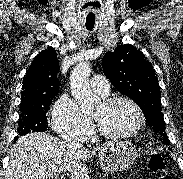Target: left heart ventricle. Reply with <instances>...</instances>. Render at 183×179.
Wrapping results in <instances>:
<instances>
[{"label": "left heart ventricle", "instance_id": "b2bd125f", "mask_svg": "<svg viewBox=\"0 0 183 179\" xmlns=\"http://www.w3.org/2000/svg\"><path fill=\"white\" fill-rule=\"evenodd\" d=\"M93 118L102 129L111 133L132 131L139 123L136 110L127 102H118L110 107L101 103Z\"/></svg>", "mask_w": 183, "mask_h": 179}]
</instances>
